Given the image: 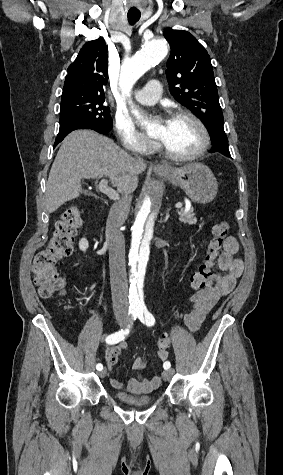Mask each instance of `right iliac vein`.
Masks as SVG:
<instances>
[{
    "label": "right iliac vein",
    "instance_id": "right-iliac-vein-1",
    "mask_svg": "<svg viewBox=\"0 0 283 475\" xmlns=\"http://www.w3.org/2000/svg\"><path fill=\"white\" fill-rule=\"evenodd\" d=\"M119 324L124 325L126 324L127 320L125 318H119L118 319ZM106 375V369H103L101 372H99L100 377H105Z\"/></svg>",
    "mask_w": 283,
    "mask_h": 475
}]
</instances>
